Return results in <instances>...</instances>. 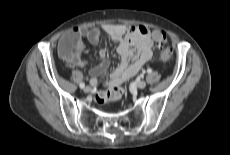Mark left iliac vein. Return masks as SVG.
<instances>
[{
	"mask_svg": "<svg viewBox=\"0 0 230 155\" xmlns=\"http://www.w3.org/2000/svg\"><path fill=\"white\" fill-rule=\"evenodd\" d=\"M134 85L138 89H144L146 87V82L143 80H139V81H136Z\"/></svg>",
	"mask_w": 230,
	"mask_h": 155,
	"instance_id": "obj_1",
	"label": "left iliac vein"
}]
</instances>
